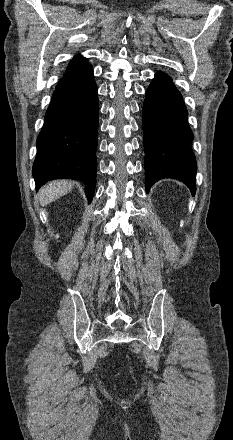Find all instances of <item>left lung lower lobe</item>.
I'll use <instances>...</instances> for the list:
<instances>
[{
  "instance_id": "0a47b994",
  "label": "left lung lower lobe",
  "mask_w": 233,
  "mask_h": 440,
  "mask_svg": "<svg viewBox=\"0 0 233 440\" xmlns=\"http://www.w3.org/2000/svg\"><path fill=\"white\" fill-rule=\"evenodd\" d=\"M180 92L165 73L158 72L146 91L143 105L146 190L158 180L173 178L196 190L193 133Z\"/></svg>"
}]
</instances>
